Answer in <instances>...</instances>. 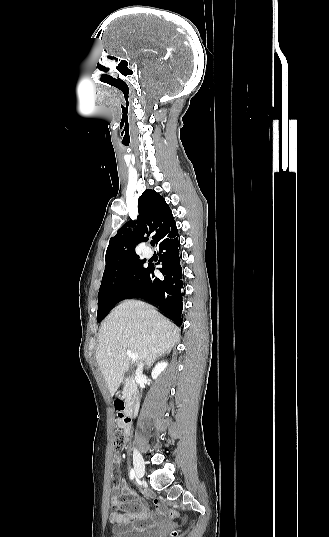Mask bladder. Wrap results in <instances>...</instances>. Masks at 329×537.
<instances>
[{"mask_svg":"<svg viewBox=\"0 0 329 537\" xmlns=\"http://www.w3.org/2000/svg\"><path fill=\"white\" fill-rule=\"evenodd\" d=\"M112 537H156L155 532L151 530L146 531H134V532H115Z\"/></svg>","mask_w":329,"mask_h":537,"instance_id":"obj_1","label":"bladder"}]
</instances>
